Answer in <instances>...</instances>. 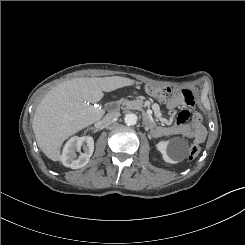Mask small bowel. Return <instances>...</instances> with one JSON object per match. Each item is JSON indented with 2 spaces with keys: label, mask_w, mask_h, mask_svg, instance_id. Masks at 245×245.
Instances as JSON below:
<instances>
[{
  "label": "small bowel",
  "mask_w": 245,
  "mask_h": 245,
  "mask_svg": "<svg viewBox=\"0 0 245 245\" xmlns=\"http://www.w3.org/2000/svg\"><path fill=\"white\" fill-rule=\"evenodd\" d=\"M194 98L188 89L177 90L166 102L169 110L180 109L173 124L165 126H149L154 137L181 135L192 139L196 143H202L207 135L202 122V115L193 110Z\"/></svg>",
  "instance_id": "obj_1"
}]
</instances>
